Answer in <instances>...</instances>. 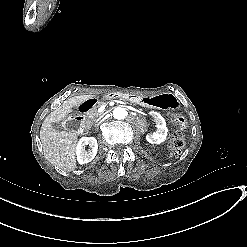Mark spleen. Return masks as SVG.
I'll return each instance as SVG.
<instances>
[{"instance_id": "obj_1", "label": "spleen", "mask_w": 247, "mask_h": 247, "mask_svg": "<svg viewBox=\"0 0 247 247\" xmlns=\"http://www.w3.org/2000/svg\"><path fill=\"white\" fill-rule=\"evenodd\" d=\"M175 156H177V153H173Z\"/></svg>"}]
</instances>
